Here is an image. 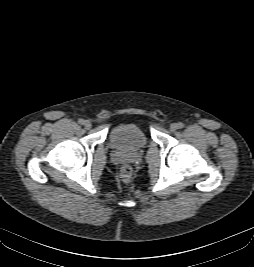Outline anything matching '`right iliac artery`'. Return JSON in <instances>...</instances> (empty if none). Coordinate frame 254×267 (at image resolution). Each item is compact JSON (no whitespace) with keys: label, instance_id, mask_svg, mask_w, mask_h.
Returning a JSON list of instances; mask_svg holds the SVG:
<instances>
[{"label":"right iliac artery","instance_id":"82829eb1","mask_svg":"<svg viewBox=\"0 0 254 267\" xmlns=\"http://www.w3.org/2000/svg\"><path fill=\"white\" fill-rule=\"evenodd\" d=\"M78 123L82 125V124H84V120L83 119H79Z\"/></svg>","mask_w":254,"mask_h":267}]
</instances>
